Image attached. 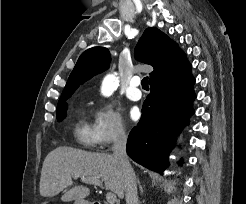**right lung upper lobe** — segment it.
Masks as SVG:
<instances>
[{
  "instance_id": "cb5924a9",
  "label": "right lung upper lobe",
  "mask_w": 246,
  "mask_h": 204,
  "mask_svg": "<svg viewBox=\"0 0 246 204\" xmlns=\"http://www.w3.org/2000/svg\"><path fill=\"white\" fill-rule=\"evenodd\" d=\"M135 58L150 64V81L189 65L186 55L167 35L155 27L144 31L135 48ZM110 54L104 47H93L79 57L60 97H70L80 84L109 67Z\"/></svg>"
}]
</instances>
